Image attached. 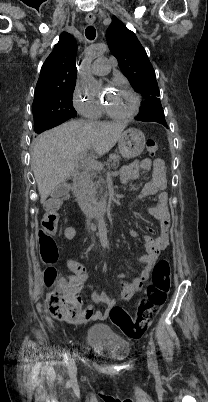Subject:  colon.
I'll list each match as a JSON object with an SVG mask.
<instances>
[{
    "instance_id": "5ec220e1",
    "label": "colon",
    "mask_w": 208,
    "mask_h": 402,
    "mask_svg": "<svg viewBox=\"0 0 208 402\" xmlns=\"http://www.w3.org/2000/svg\"><path fill=\"white\" fill-rule=\"evenodd\" d=\"M146 149L154 154L157 151V143L154 140L146 142ZM58 226L57 218L53 213H49L43 219V227L47 232H41L39 238L38 254L42 262L47 267L44 269V279L52 286L50 292H47L44 300V307L48 308L49 314H65L68 318H77L80 314L86 317L90 315L88 305H84V298L81 297L83 289H77L75 297L74 283L70 277H59L56 265L59 263L58 243L55 239V231ZM67 237L72 238L75 235L74 230L69 229L66 232ZM171 272L167 260L158 261L152 271L151 282L145 290V298L138 304L137 314L133 319L127 311L120 305H114L109 309V316L116 327L130 339H139L147 332L151 320L158 308L166 303L167 294L170 289Z\"/></svg>"
}]
</instances>
